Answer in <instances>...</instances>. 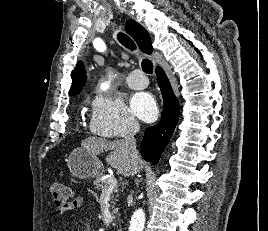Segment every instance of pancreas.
Listing matches in <instances>:
<instances>
[{
	"instance_id": "1",
	"label": "pancreas",
	"mask_w": 268,
	"mask_h": 231,
	"mask_svg": "<svg viewBox=\"0 0 268 231\" xmlns=\"http://www.w3.org/2000/svg\"><path fill=\"white\" fill-rule=\"evenodd\" d=\"M93 185L98 190H105V188L107 186V179L101 180L100 177H96V180L94 181ZM117 197H118V189H117V187H115L112 190V196H111V204H112V207L113 208H115V204H116L115 201L117 200ZM112 213L113 214H116L117 213V209H114Z\"/></svg>"
}]
</instances>
